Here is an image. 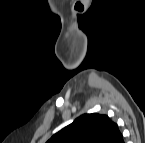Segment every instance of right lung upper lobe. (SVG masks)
Here are the masks:
<instances>
[{
    "label": "right lung upper lobe",
    "instance_id": "cb5924a9",
    "mask_svg": "<svg viewBox=\"0 0 145 143\" xmlns=\"http://www.w3.org/2000/svg\"><path fill=\"white\" fill-rule=\"evenodd\" d=\"M47 143H124L117 124L108 116L84 114L66 126Z\"/></svg>",
    "mask_w": 145,
    "mask_h": 143
}]
</instances>
